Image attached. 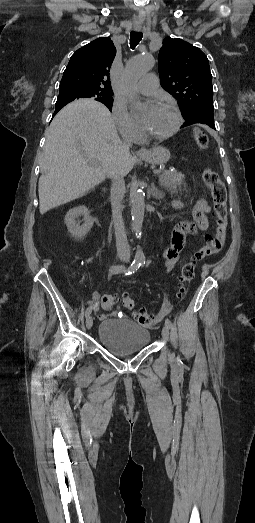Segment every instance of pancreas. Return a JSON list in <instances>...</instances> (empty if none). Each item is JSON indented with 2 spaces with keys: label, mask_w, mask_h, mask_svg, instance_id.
Segmentation results:
<instances>
[{
  "label": "pancreas",
  "mask_w": 255,
  "mask_h": 523,
  "mask_svg": "<svg viewBox=\"0 0 255 523\" xmlns=\"http://www.w3.org/2000/svg\"><path fill=\"white\" fill-rule=\"evenodd\" d=\"M160 186L172 192V194H177V186H181L184 182V174L181 172H161L158 176Z\"/></svg>",
  "instance_id": "pancreas-1"
}]
</instances>
